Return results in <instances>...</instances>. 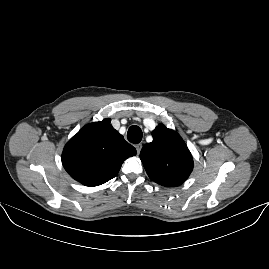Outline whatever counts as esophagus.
<instances>
[{
	"instance_id": "esophagus-1",
	"label": "esophagus",
	"mask_w": 269,
	"mask_h": 269,
	"mask_svg": "<svg viewBox=\"0 0 269 269\" xmlns=\"http://www.w3.org/2000/svg\"><path fill=\"white\" fill-rule=\"evenodd\" d=\"M135 148H136V151H137V155H139L140 151H141V148H142V144L139 143V144H136L135 145Z\"/></svg>"
}]
</instances>
